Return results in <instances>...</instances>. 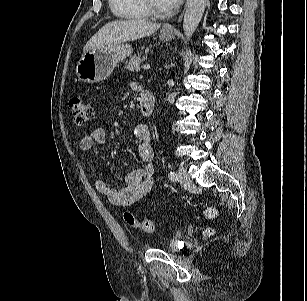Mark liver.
<instances>
[{
  "instance_id": "1",
  "label": "liver",
  "mask_w": 307,
  "mask_h": 301,
  "mask_svg": "<svg viewBox=\"0 0 307 301\" xmlns=\"http://www.w3.org/2000/svg\"><path fill=\"white\" fill-rule=\"evenodd\" d=\"M161 27L159 23H151L139 19L116 20L105 24L86 43L83 54L92 49H106L115 45L134 41L152 35Z\"/></svg>"
}]
</instances>
